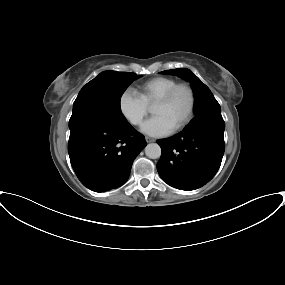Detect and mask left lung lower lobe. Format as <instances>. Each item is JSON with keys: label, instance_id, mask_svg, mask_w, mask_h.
Instances as JSON below:
<instances>
[{"label": "left lung lower lobe", "instance_id": "obj_1", "mask_svg": "<svg viewBox=\"0 0 285 285\" xmlns=\"http://www.w3.org/2000/svg\"><path fill=\"white\" fill-rule=\"evenodd\" d=\"M223 118H205L182 132L158 140L162 149L157 170L169 185L194 190L209 182L224 154Z\"/></svg>", "mask_w": 285, "mask_h": 285}]
</instances>
